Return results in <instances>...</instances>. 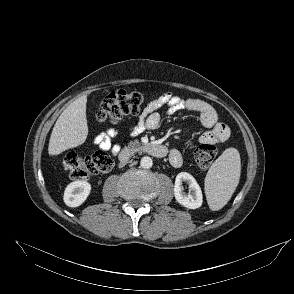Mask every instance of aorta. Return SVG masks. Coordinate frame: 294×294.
Here are the masks:
<instances>
[{
	"label": "aorta",
	"instance_id": "aorta-1",
	"mask_svg": "<svg viewBox=\"0 0 294 294\" xmlns=\"http://www.w3.org/2000/svg\"><path fill=\"white\" fill-rule=\"evenodd\" d=\"M140 165H141V167L144 168V169H149V168L152 167V165H153V161H152L151 157H149V156H144V157L141 159V161H140Z\"/></svg>",
	"mask_w": 294,
	"mask_h": 294
}]
</instances>
